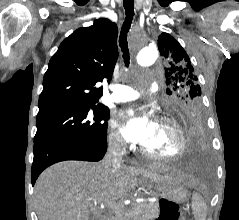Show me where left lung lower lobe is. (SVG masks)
Instances as JSON below:
<instances>
[{"label":"left lung lower lobe","instance_id":"1","mask_svg":"<svg viewBox=\"0 0 239 220\" xmlns=\"http://www.w3.org/2000/svg\"><path fill=\"white\" fill-rule=\"evenodd\" d=\"M184 128L189 144L187 163L202 166L205 162L207 139L204 132L203 112L201 108L185 109L176 116Z\"/></svg>","mask_w":239,"mask_h":220}]
</instances>
